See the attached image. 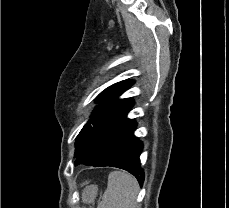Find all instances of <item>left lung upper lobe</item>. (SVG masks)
Wrapping results in <instances>:
<instances>
[{
    "label": "left lung upper lobe",
    "mask_w": 229,
    "mask_h": 208,
    "mask_svg": "<svg viewBox=\"0 0 229 208\" xmlns=\"http://www.w3.org/2000/svg\"><path fill=\"white\" fill-rule=\"evenodd\" d=\"M133 84L134 82L131 80H124L106 88L97 96L96 101L100 105L96 106L90 120L76 137L75 145L89 139L99 131L108 129L129 130L135 125L134 120L126 118L134 100L132 98L117 99Z\"/></svg>",
    "instance_id": "obj_1"
}]
</instances>
